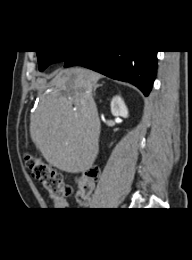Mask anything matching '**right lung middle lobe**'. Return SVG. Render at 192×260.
Returning <instances> with one entry per match:
<instances>
[{
    "instance_id": "1",
    "label": "right lung middle lobe",
    "mask_w": 192,
    "mask_h": 260,
    "mask_svg": "<svg viewBox=\"0 0 192 260\" xmlns=\"http://www.w3.org/2000/svg\"><path fill=\"white\" fill-rule=\"evenodd\" d=\"M39 63V70L43 71L52 63L65 61L72 51H36Z\"/></svg>"
}]
</instances>
